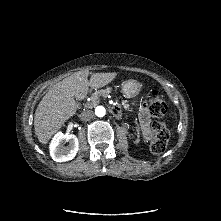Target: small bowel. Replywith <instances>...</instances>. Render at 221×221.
I'll return each instance as SVG.
<instances>
[{"mask_svg":"<svg viewBox=\"0 0 221 221\" xmlns=\"http://www.w3.org/2000/svg\"><path fill=\"white\" fill-rule=\"evenodd\" d=\"M139 124L142 133V137L145 141L152 139L154 132L151 127V116L148 109L145 106L139 108Z\"/></svg>","mask_w":221,"mask_h":221,"instance_id":"small-bowel-1","label":"small bowel"}]
</instances>
